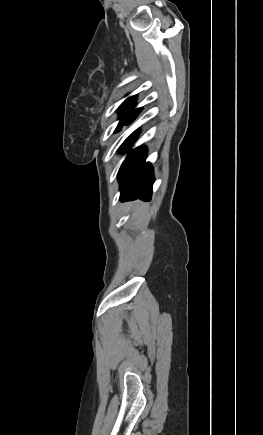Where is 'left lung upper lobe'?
I'll return each instance as SVG.
<instances>
[{"label": "left lung upper lobe", "mask_w": 263, "mask_h": 435, "mask_svg": "<svg viewBox=\"0 0 263 435\" xmlns=\"http://www.w3.org/2000/svg\"><path fill=\"white\" fill-rule=\"evenodd\" d=\"M136 97L126 99L119 107L120 122L115 131H120L123 125L130 124L139 114L141 108L134 110Z\"/></svg>", "instance_id": "left-lung-upper-lobe-1"}]
</instances>
